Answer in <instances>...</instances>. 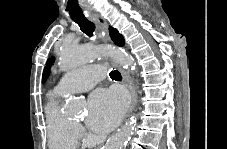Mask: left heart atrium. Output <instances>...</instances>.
<instances>
[{
    "label": "left heart atrium",
    "mask_w": 227,
    "mask_h": 149,
    "mask_svg": "<svg viewBox=\"0 0 227 149\" xmlns=\"http://www.w3.org/2000/svg\"><path fill=\"white\" fill-rule=\"evenodd\" d=\"M89 127L98 133L110 131L121 119L126 100L117 89H99L90 97Z\"/></svg>",
    "instance_id": "1"
}]
</instances>
